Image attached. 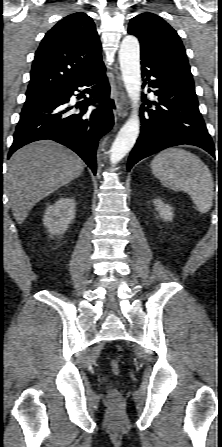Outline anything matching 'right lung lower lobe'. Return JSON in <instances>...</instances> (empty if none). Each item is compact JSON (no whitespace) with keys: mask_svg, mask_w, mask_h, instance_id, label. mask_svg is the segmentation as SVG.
I'll use <instances>...</instances> for the list:
<instances>
[{"mask_svg":"<svg viewBox=\"0 0 222 447\" xmlns=\"http://www.w3.org/2000/svg\"><path fill=\"white\" fill-rule=\"evenodd\" d=\"M78 87H87L90 98L75 107L69 105L70 97ZM110 87L102 62L98 67L74 83L53 99L38 106L23 109L15 130L14 141L8 158L20 147L37 140L50 139L76 152L96 174V149L98 140L113 125V114L109 105ZM99 102L102 106L86 113L87 107Z\"/></svg>","mask_w":222,"mask_h":447,"instance_id":"obj_1","label":"right lung lower lobe"}]
</instances>
